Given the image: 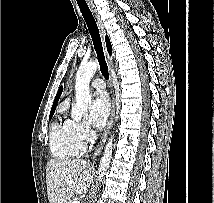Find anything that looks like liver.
<instances>
[{
  "mask_svg": "<svg viewBox=\"0 0 214 203\" xmlns=\"http://www.w3.org/2000/svg\"><path fill=\"white\" fill-rule=\"evenodd\" d=\"M91 181V168L85 160H51L47 163L46 184L50 203H67L74 193L86 192Z\"/></svg>",
  "mask_w": 214,
  "mask_h": 203,
  "instance_id": "liver-1",
  "label": "liver"
}]
</instances>
